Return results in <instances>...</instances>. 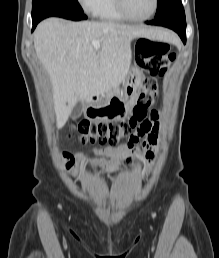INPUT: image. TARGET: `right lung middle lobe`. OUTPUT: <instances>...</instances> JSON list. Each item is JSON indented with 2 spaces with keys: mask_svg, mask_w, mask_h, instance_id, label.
<instances>
[{
  "mask_svg": "<svg viewBox=\"0 0 219 258\" xmlns=\"http://www.w3.org/2000/svg\"><path fill=\"white\" fill-rule=\"evenodd\" d=\"M63 8L83 13V10L77 0H33L32 2V20L38 19L46 12Z\"/></svg>",
  "mask_w": 219,
  "mask_h": 258,
  "instance_id": "right-lung-middle-lobe-1",
  "label": "right lung middle lobe"
}]
</instances>
